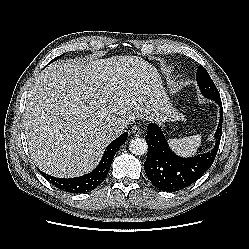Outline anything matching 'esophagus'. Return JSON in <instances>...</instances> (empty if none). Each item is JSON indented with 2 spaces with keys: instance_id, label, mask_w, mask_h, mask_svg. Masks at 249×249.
Wrapping results in <instances>:
<instances>
[{
  "instance_id": "34e87169",
  "label": "esophagus",
  "mask_w": 249,
  "mask_h": 249,
  "mask_svg": "<svg viewBox=\"0 0 249 249\" xmlns=\"http://www.w3.org/2000/svg\"><path fill=\"white\" fill-rule=\"evenodd\" d=\"M131 134H132L133 136H139V135H141V134H142V129H141V127L138 126V125L133 126V127L131 128Z\"/></svg>"
}]
</instances>
